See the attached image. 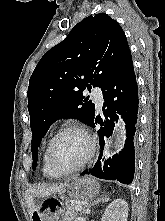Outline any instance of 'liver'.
<instances>
[{"label":"liver","mask_w":165,"mask_h":221,"mask_svg":"<svg viewBox=\"0 0 165 221\" xmlns=\"http://www.w3.org/2000/svg\"><path fill=\"white\" fill-rule=\"evenodd\" d=\"M67 186V183L54 184V185H38L29 188L25 195V200L28 206V212L32 216L35 210L34 198L45 197L53 193L62 191Z\"/></svg>","instance_id":"liver-1"}]
</instances>
